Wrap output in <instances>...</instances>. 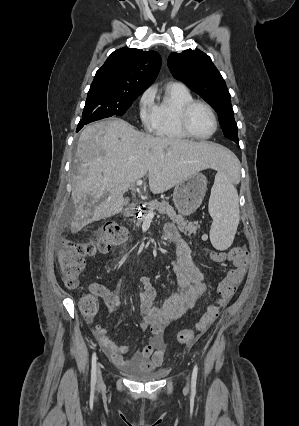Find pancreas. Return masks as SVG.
I'll return each mask as SVG.
<instances>
[{"instance_id": "1", "label": "pancreas", "mask_w": 299, "mask_h": 426, "mask_svg": "<svg viewBox=\"0 0 299 426\" xmlns=\"http://www.w3.org/2000/svg\"><path fill=\"white\" fill-rule=\"evenodd\" d=\"M145 205V216L151 212H154L155 210L158 211V213L160 214H167L170 219L177 224L179 230L185 235L191 236L192 234H196L197 230L200 228L198 222H188L183 218L182 215L177 214L174 208L165 200H162L161 202L157 200H152L150 202H147ZM143 220L144 217L138 219L137 221H134L135 225L139 227Z\"/></svg>"}]
</instances>
